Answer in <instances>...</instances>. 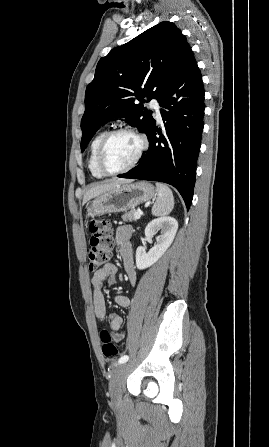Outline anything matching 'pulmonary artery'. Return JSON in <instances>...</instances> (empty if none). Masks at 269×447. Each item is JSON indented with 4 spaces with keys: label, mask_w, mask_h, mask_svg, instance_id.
Returning a JSON list of instances; mask_svg holds the SVG:
<instances>
[{
    "label": "pulmonary artery",
    "mask_w": 269,
    "mask_h": 447,
    "mask_svg": "<svg viewBox=\"0 0 269 447\" xmlns=\"http://www.w3.org/2000/svg\"><path fill=\"white\" fill-rule=\"evenodd\" d=\"M150 107L154 109L156 119L161 120V106L159 105L158 101L156 99H152L150 102Z\"/></svg>",
    "instance_id": "e3ab8cb5"
}]
</instances>
